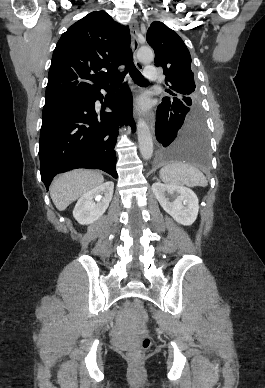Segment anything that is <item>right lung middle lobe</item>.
Returning <instances> with one entry per match:
<instances>
[{"label":"right lung middle lobe","instance_id":"obj_1","mask_svg":"<svg viewBox=\"0 0 265 388\" xmlns=\"http://www.w3.org/2000/svg\"><path fill=\"white\" fill-rule=\"evenodd\" d=\"M65 99H68V98L57 99V100H46V101H45L44 108L49 107V106H51V105H53V104H55V103H58V102H60V101H62V100H65Z\"/></svg>","mask_w":265,"mask_h":388}]
</instances>
